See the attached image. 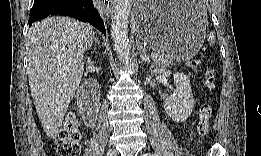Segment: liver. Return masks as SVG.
<instances>
[{
  "mask_svg": "<svg viewBox=\"0 0 261 156\" xmlns=\"http://www.w3.org/2000/svg\"><path fill=\"white\" fill-rule=\"evenodd\" d=\"M88 23L48 17L28 33V74L33 102L46 135L55 139L81 81L84 54L93 40Z\"/></svg>",
  "mask_w": 261,
  "mask_h": 156,
  "instance_id": "liver-1",
  "label": "liver"
}]
</instances>
